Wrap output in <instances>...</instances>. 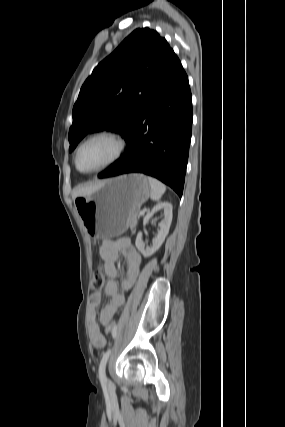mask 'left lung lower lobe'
Returning a JSON list of instances; mask_svg holds the SVG:
<instances>
[{"mask_svg":"<svg viewBox=\"0 0 285 427\" xmlns=\"http://www.w3.org/2000/svg\"><path fill=\"white\" fill-rule=\"evenodd\" d=\"M191 131L192 96L188 77L172 51L126 141L124 156L98 178L144 173L169 185L181 197Z\"/></svg>","mask_w":285,"mask_h":427,"instance_id":"left-lung-lower-lobe-1","label":"left lung lower lobe"}]
</instances>
